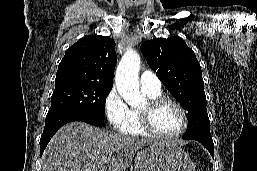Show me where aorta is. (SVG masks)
Here are the masks:
<instances>
[{
	"label": "aorta",
	"instance_id": "762f6f07",
	"mask_svg": "<svg viewBox=\"0 0 257 171\" xmlns=\"http://www.w3.org/2000/svg\"><path fill=\"white\" fill-rule=\"evenodd\" d=\"M140 62V56L136 51L127 50L117 66L115 75L120 96L134 108L144 103L138 81Z\"/></svg>",
	"mask_w": 257,
	"mask_h": 171
}]
</instances>
